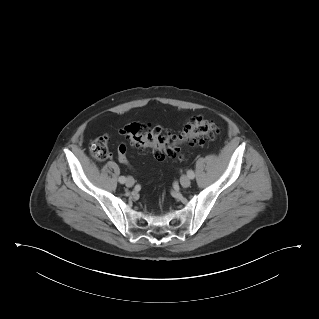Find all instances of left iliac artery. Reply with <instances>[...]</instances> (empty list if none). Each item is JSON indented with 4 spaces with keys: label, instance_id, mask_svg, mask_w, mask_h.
<instances>
[{
    "label": "left iliac artery",
    "instance_id": "obj_1",
    "mask_svg": "<svg viewBox=\"0 0 319 319\" xmlns=\"http://www.w3.org/2000/svg\"><path fill=\"white\" fill-rule=\"evenodd\" d=\"M187 175H188V177H189L190 179H194V177H195V174H194V172H193L192 170H189V171L187 172Z\"/></svg>",
    "mask_w": 319,
    "mask_h": 319
}]
</instances>
